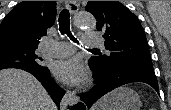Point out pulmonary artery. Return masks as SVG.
Wrapping results in <instances>:
<instances>
[{
    "instance_id": "pulmonary-artery-1",
    "label": "pulmonary artery",
    "mask_w": 171,
    "mask_h": 110,
    "mask_svg": "<svg viewBox=\"0 0 171 110\" xmlns=\"http://www.w3.org/2000/svg\"><path fill=\"white\" fill-rule=\"evenodd\" d=\"M83 42L88 47H102L103 43L97 33L87 32L83 35ZM45 53L51 57H66L73 53L74 47L71 43L64 41L46 40Z\"/></svg>"
}]
</instances>
